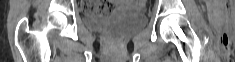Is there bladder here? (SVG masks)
Listing matches in <instances>:
<instances>
[{
    "instance_id": "obj_1",
    "label": "bladder",
    "mask_w": 235,
    "mask_h": 62,
    "mask_svg": "<svg viewBox=\"0 0 235 62\" xmlns=\"http://www.w3.org/2000/svg\"><path fill=\"white\" fill-rule=\"evenodd\" d=\"M85 24L96 31L118 29L123 32H133L146 25L145 13L138 9L132 2L123 1L110 14L94 16L85 14Z\"/></svg>"
}]
</instances>
